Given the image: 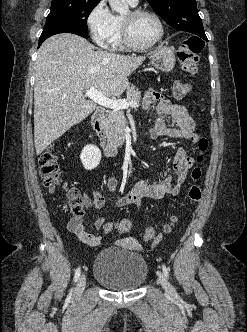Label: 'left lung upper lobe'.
<instances>
[{"mask_svg":"<svg viewBox=\"0 0 247 332\" xmlns=\"http://www.w3.org/2000/svg\"><path fill=\"white\" fill-rule=\"evenodd\" d=\"M147 1L153 9L172 27L195 34L204 40H207L195 0Z\"/></svg>","mask_w":247,"mask_h":332,"instance_id":"left-lung-upper-lobe-1","label":"left lung upper lobe"}]
</instances>
